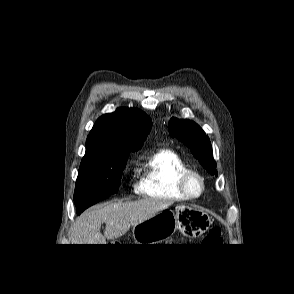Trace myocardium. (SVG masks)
I'll return each mask as SVG.
<instances>
[{
	"mask_svg": "<svg viewBox=\"0 0 294 294\" xmlns=\"http://www.w3.org/2000/svg\"><path fill=\"white\" fill-rule=\"evenodd\" d=\"M192 177H196L200 182V190L198 193H193L189 188V180ZM177 185L180 192L187 199H196L201 196L206 186L204 177L198 171L188 168L179 172L177 177Z\"/></svg>",
	"mask_w": 294,
	"mask_h": 294,
	"instance_id": "obj_1",
	"label": "myocardium"
}]
</instances>
